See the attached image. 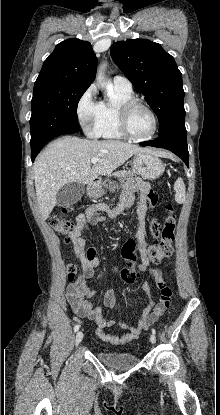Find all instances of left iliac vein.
<instances>
[{
	"instance_id": "1",
	"label": "left iliac vein",
	"mask_w": 220,
	"mask_h": 415,
	"mask_svg": "<svg viewBox=\"0 0 220 415\" xmlns=\"http://www.w3.org/2000/svg\"><path fill=\"white\" fill-rule=\"evenodd\" d=\"M150 342L152 343V344H154L155 342H156V337H155V335H151L150 336Z\"/></svg>"
}]
</instances>
